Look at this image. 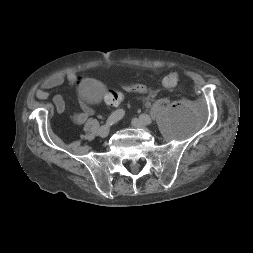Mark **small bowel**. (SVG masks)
<instances>
[{
    "label": "small bowel",
    "instance_id": "small-bowel-1",
    "mask_svg": "<svg viewBox=\"0 0 253 253\" xmlns=\"http://www.w3.org/2000/svg\"><path fill=\"white\" fill-rule=\"evenodd\" d=\"M79 81L78 76L74 72L66 74H58L47 78L37 90L36 97L39 100H46L49 97V90L56 88L65 82L74 85ZM56 112L62 113L65 109V102L62 96L57 95L53 99ZM81 110L74 114L73 120L76 124H83L92 115L93 110L82 100H80Z\"/></svg>",
    "mask_w": 253,
    "mask_h": 253
}]
</instances>
